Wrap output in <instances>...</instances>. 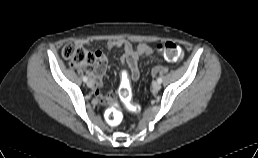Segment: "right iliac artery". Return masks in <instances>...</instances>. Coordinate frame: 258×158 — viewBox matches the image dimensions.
Instances as JSON below:
<instances>
[{
	"mask_svg": "<svg viewBox=\"0 0 258 158\" xmlns=\"http://www.w3.org/2000/svg\"><path fill=\"white\" fill-rule=\"evenodd\" d=\"M88 78L86 76H83V81L87 82Z\"/></svg>",
	"mask_w": 258,
	"mask_h": 158,
	"instance_id": "right-iliac-artery-1",
	"label": "right iliac artery"
}]
</instances>
